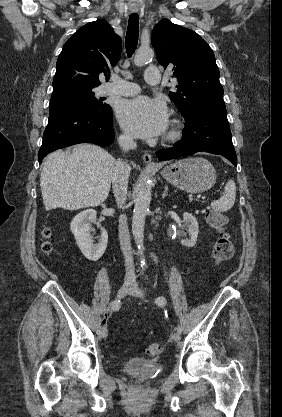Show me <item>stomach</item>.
I'll return each mask as SVG.
<instances>
[{
    "label": "stomach",
    "mask_w": 282,
    "mask_h": 417,
    "mask_svg": "<svg viewBox=\"0 0 282 417\" xmlns=\"http://www.w3.org/2000/svg\"><path fill=\"white\" fill-rule=\"evenodd\" d=\"M162 176L186 192H204L212 188L216 182V170L209 160L195 156L182 158L161 170Z\"/></svg>",
    "instance_id": "0dacf381"
}]
</instances>
